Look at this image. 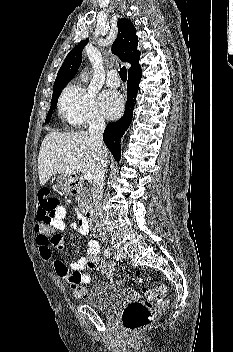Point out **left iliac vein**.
<instances>
[{
	"label": "left iliac vein",
	"mask_w": 233,
	"mask_h": 352,
	"mask_svg": "<svg viewBox=\"0 0 233 352\" xmlns=\"http://www.w3.org/2000/svg\"><path fill=\"white\" fill-rule=\"evenodd\" d=\"M116 253H117L118 258H120V259H124L127 256L126 253L121 248H118L116 250Z\"/></svg>",
	"instance_id": "4c4485c4"
}]
</instances>
